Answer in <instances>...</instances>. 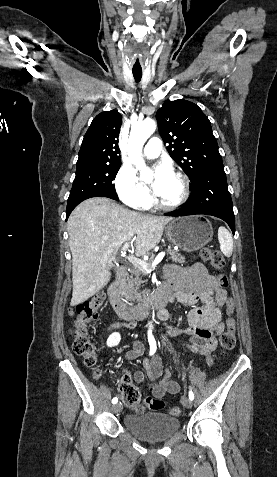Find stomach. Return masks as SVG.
Masks as SVG:
<instances>
[{"mask_svg":"<svg viewBox=\"0 0 277 477\" xmlns=\"http://www.w3.org/2000/svg\"><path fill=\"white\" fill-rule=\"evenodd\" d=\"M166 236L183 251L194 252L212 240L213 227L209 220L200 216L178 217L167 225Z\"/></svg>","mask_w":277,"mask_h":477,"instance_id":"1","label":"stomach"}]
</instances>
